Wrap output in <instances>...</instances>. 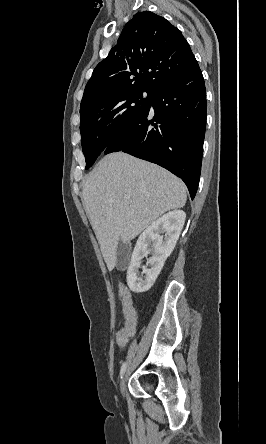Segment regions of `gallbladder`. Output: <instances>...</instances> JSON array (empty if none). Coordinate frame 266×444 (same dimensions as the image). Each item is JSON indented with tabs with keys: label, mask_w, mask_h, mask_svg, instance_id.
<instances>
[{
	"label": "gallbladder",
	"mask_w": 266,
	"mask_h": 444,
	"mask_svg": "<svg viewBox=\"0 0 266 444\" xmlns=\"http://www.w3.org/2000/svg\"><path fill=\"white\" fill-rule=\"evenodd\" d=\"M116 256H117L116 268L119 270L124 269L128 263L129 245L126 243H123L120 240L118 242Z\"/></svg>",
	"instance_id": "bac80fb5"
}]
</instances>
